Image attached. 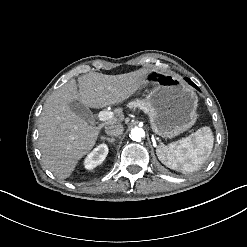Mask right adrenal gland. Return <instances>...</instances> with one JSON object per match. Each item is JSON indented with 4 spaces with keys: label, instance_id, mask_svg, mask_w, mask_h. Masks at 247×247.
Segmentation results:
<instances>
[{
    "label": "right adrenal gland",
    "instance_id": "right-adrenal-gland-1",
    "mask_svg": "<svg viewBox=\"0 0 247 247\" xmlns=\"http://www.w3.org/2000/svg\"><path fill=\"white\" fill-rule=\"evenodd\" d=\"M101 138H102V139H106V140H108V141L111 142V143L114 141L113 138H109V137H106V136H103V135H101Z\"/></svg>",
    "mask_w": 247,
    "mask_h": 247
}]
</instances>
